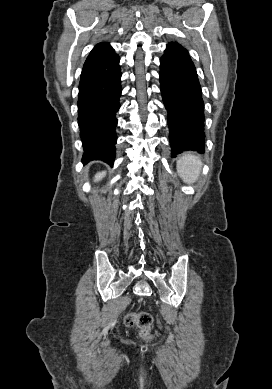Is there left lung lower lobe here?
Listing matches in <instances>:
<instances>
[{
    "mask_svg": "<svg viewBox=\"0 0 272 389\" xmlns=\"http://www.w3.org/2000/svg\"><path fill=\"white\" fill-rule=\"evenodd\" d=\"M160 88L168 112L172 155L187 150L204 153V102L187 51L167 46L160 59Z\"/></svg>",
    "mask_w": 272,
    "mask_h": 389,
    "instance_id": "obj_1",
    "label": "left lung lower lobe"
}]
</instances>
